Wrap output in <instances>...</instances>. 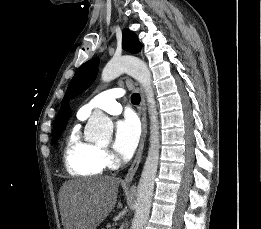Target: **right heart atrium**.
Instances as JSON below:
<instances>
[{"mask_svg":"<svg viewBox=\"0 0 261 229\" xmlns=\"http://www.w3.org/2000/svg\"><path fill=\"white\" fill-rule=\"evenodd\" d=\"M101 161L103 167L108 168L110 170L117 168L119 164V160L117 159V157L107 148H102Z\"/></svg>","mask_w":261,"mask_h":229,"instance_id":"d8ad5b80","label":"right heart atrium"}]
</instances>
